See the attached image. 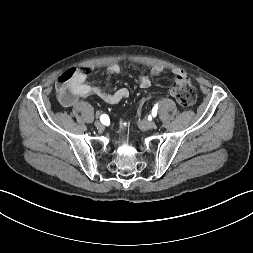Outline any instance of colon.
<instances>
[{
	"mask_svg": "<svg viewBox=\"0 0 253 253\" xmlns=\"http://www.w3.org/2000/svg\"><path fill=\"white\" fill-rule=\"evenodd\" d=\"M76 72L74 70L67 71L63 73L57 82V92L62 100H68L71 97L70 85L75 76ZM175 98L177 103L182 107H189L194 104L196 99L195 88L191 83H186L181 86L175 87ZM154 98L152 93H146L140 97V104L135 111V119H140L143 110L150 100Z\"/></svg>",
	"mask_w": 253,
	"mask_h": 253,
	"instance_id": "5ec220e1",
	"label": "colon"
}]
</instances>
